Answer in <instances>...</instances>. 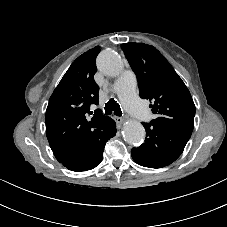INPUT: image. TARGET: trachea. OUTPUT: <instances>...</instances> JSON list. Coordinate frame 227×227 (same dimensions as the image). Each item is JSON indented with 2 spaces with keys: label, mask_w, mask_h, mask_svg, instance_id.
Here are the masks:
<instances>
[{
  "label": "trachea",
  "mask_w": 227,
  "mask_h": 227,
  "mask_svg": "<svg viewBox=\"0 0 227 227\" xmlns=\"http://www.w3.org/2000/svg\"><path fill=\"white\" fill-rule=\"evenodd\" d=\"M104 109H105V115H110L114 113L116 116H119V117L122 116L120 105L114 99L109 100L106 103Z\"/></svg>",
  "instance_id": "trachea-1"
}]
</instances>
